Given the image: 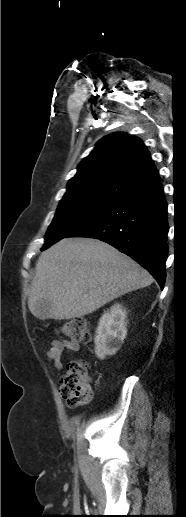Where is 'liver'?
<instances>
[{
  "mask_svg": "<svg viewBox=\"0 0 186 517\" xmlns=\"http://www.w3.org/2000/svg\"><path fill=\"white\" fill-rule=\"evenodd\" d=\"M152 282L146 269L105 242L63 239L39 257L28 306L33 315L42 319H72ZM42 301L50 304L44 315L36 310Z\"/></svg>",
  "mask_w": 186,
  "mask_h": 517,
  "instance_id": "obj_1",
  "label": "liver"
}]
</instances>
